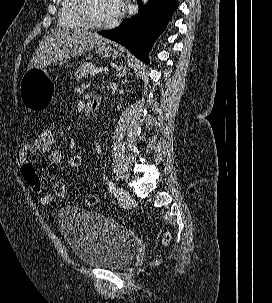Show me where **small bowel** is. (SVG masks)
Wrapping results in <instances>:
<instances>
[{
	"label": "small bowel",
	"mask_w": 272,
	"mask_h": 303,
	"mask_svg": "<svg viewBox=\"0 0 272 303\" xmlns=\"http://www.w3.org/2000/svg\"><path fill=\"white\" fill-rule=\"evenodd\" d=\"M42 153L48 156L51 163L57 164L61 161L62 155L56 148H47L39 143L36 138L27 139L16 153V161L19 166L27 164L28 156L30 154ZM53 193H47L41 196L40 202L43 205H48L53 199Z\"/></svg>",
	"instance_id": "c3829d8e"
}]
</instances>
